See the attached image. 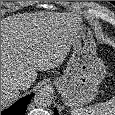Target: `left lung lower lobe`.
<instances>
[{"instance_id":"left-lung-lower-lobe-1","label":"left lung lower lobe","mask_w":115,"mask_h":115,"mask_svg":"<svg viewBox=\"0 0 115 115\" xmlns=\"http://www.w3.org/2000/svg\"><path fill=\"white\" fill-rule=\"evenodd\" d=\"M54 115H58V112H57V110H55V111H54Z\"/></svg>"}]
</instances>
